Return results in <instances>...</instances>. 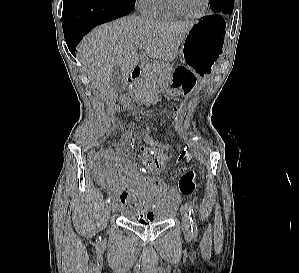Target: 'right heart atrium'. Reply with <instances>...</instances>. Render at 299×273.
<instances>
[{
	"mask_svg": "<svg viewBox=\"0 0 299 273\" xmlns=\"http://www.w3.org/2000/svg\"><path fill=\"white\" fill-rule=\"evenodd\" d=\"M150 0H136V6L140 12L144 13Z\"/></svg>",
	"mask_w": 299,
	"mask_h": 273,
	"instance_id": "d8ad5b80",
	"label": "right heart atrium"
}]
</instances>
